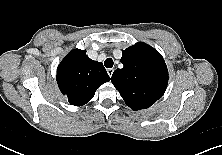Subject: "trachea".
Instances as JSON below:
<instances>
[{"instance_id":"obj_1","label":"trachea","mask_w":222,"mask_h":155,"mask_svg":"<svg viewBox=\"0 0 222 155\" xmlns=\"http://www.w3.org/2000/svg\"><path fill=\"white\" fill-rule=\"evenodd\" d=\"M113 59L112 58H107L105 61H104V65L106 68H112L113 67Z\"/></svg>"}]
</instances>
